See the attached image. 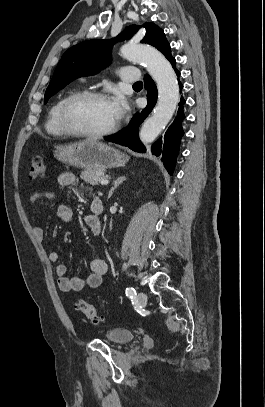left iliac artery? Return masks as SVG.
<instances>
[{
  "label": "left iliac artery",
  "mask_w": 265,
  "mask_h": 407,
  "mask_svg": "<svg viewBox=\"0 0 265 407\" xmlns=\"http://www.w3.org/2000/svg\"><path fill=\"white\" fill-rule=\"evenodd\" d=\"M136 295V291L133 287L126 288V296L133 298Z\"/></svg>",
  "instance_id": "obj_1"
}]
</instances>
